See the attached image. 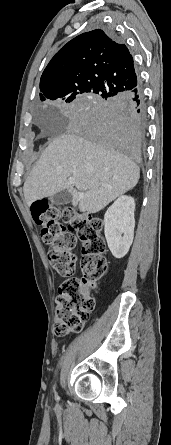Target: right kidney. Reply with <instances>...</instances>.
I'll use <instances>...</instances> for the list:
<instances>
[{
  "mask_svg": "<svg viewBox=\"0 0 171 445\" xmlns=\"http://www.w3.org/2000/svg\"><path fill=\"white\" fill-rule=\"evenodd\" d=\"M135 201L131 196H120L106 211L104 233L115 258H123L133 242Z\"/></svg>",
  "mask_w": 171,
  "mask_h": 445,
  "instance_id": "right-kidney-1",
  "label": "right kidney"
}]
</instances>
